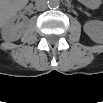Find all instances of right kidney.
Here are the masks:
<instances>
[{
    "mask_svg": "<svg viewBox=\"0 0 103 103\" xmlns=\"http://www.w3.org/2000/svg\"><path fill=\"white\" fill-rule=\"evenodd\" d=\"M16 16L7 22H3L1 19V34L5 41H16L21 36V23H15Z\"/></svg>",
    "mask_w": 103,
    "mask_h": 103,
    "instance_id": "right-kidney-1",
    "label": "right kidney"
}]
</instances>
